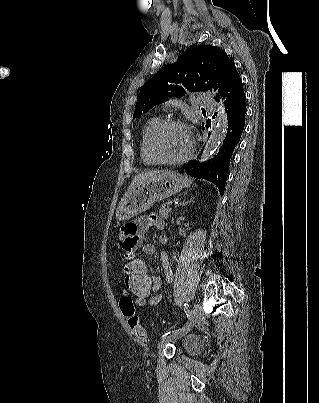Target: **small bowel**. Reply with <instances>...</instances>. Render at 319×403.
Instances as JSON below:
<instances>
[{"label": "small bowel", "mask_w": 319, "mask_h": 403, "mask_svg": "<svg viewBox=\"0 0 319 403\" xmlns=\"http://www.w3.org/2000/svg\"><path fill=\"white\" fill-rule=\"evenodd\" d=\"M163 225V220L156 214H150L148 217L139 218L128 224H122L121 235H117L115 237V242L117 244H121V257L126 258V260L129 262L134 261L135 253L130 250L135 249V247H138L139 245H141V254L153 255L155 253L154 244L150 242H144V240L150 232L160 231L163 228ZM157 240L160 244L165 245L168 242V237L164 233H159ZM160 258L166 281L171 282L173 274L168 256L165 252H162L160 254ZM149 275L152 274L149 273ZM154 278L155 281L153 284V293L151 296V300H147L150 305H157L162 297L159 293L162 284L161 279L156 275H154ZM124 283L126 286L125 279ZM121 296H130V292H121ZM133 303H135V299H133Z\"/></svg>", "instance_id": "obj_1"}]
</instances>
